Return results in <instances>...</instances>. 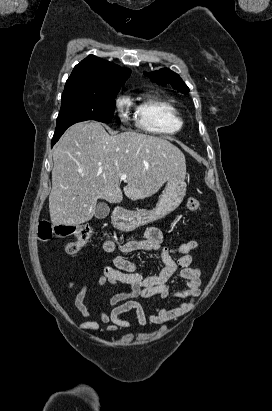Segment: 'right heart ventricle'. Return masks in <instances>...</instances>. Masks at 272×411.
Listing matches in <instances>:
<instances>
[{"label": "right heart ventricle", "mask_w": 272, "mask_h": 411, "mask_svg": "<svg viewBox=\"0 0 272 411\" xmlns=\"http://www.w3.org/2000/svg\"><path fill=\"white\" fill-rule=\"evenodd\" d=\"M127 102L133 103L129 98ZM134 111L139 127L149 133L174 134L183 127V120L178 110L169 102L155 96L142 97L134 103Z\"/></svg>", "instance_id": "right-heart-ventricle-1"}]
</instances>
